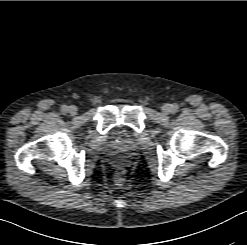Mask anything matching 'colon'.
Wrapping results in <instances>:
<instances>
[{
    "mask_svg": "<svg viewBox=\"0 0 247 245\" xmlns=\"http://www.w3.org/2000/svg\"><path fill=\"white\" fill-rule=\"evenodd\" d=\"M123 180H124V173L120 171L117 173V181L121 183L123 182Z\"/></svg>",
    "mask_w": 247,
    "mask_h": 245,
    "instance_id": "colon-1",
    "label": "colon"
}]
</instances>
